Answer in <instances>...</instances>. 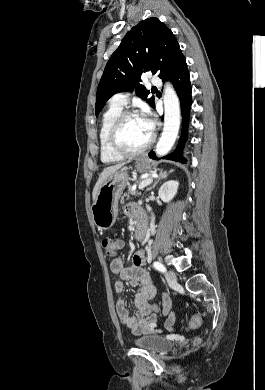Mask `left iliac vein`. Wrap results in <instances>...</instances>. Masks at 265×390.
<instances>
[{
  "mask_svg": "<svg viewBox=\"0 0 265 390\" xmlns=\"http://www.w3.org/2000/svg\"><path fill=\"white\" fill-rule=\"evenodd\" d=\"M167 282L170 284H175L177 282V277L174 271L170 270L166 273Z\"/></svg>",
  "mask_w": 265,
  "mask_h": 390,
  "instance_id": "left-iliac-vein-1",
  "label": "left iliac vein"
}]
</instances>
